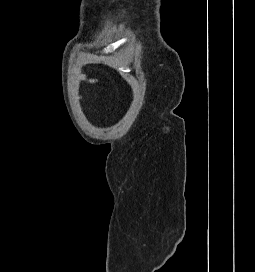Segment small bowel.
I'll list each match as a JSON object with an SVG mask.
<instances>
[{"label": "small bowel", "mask_w": 255, "mask_h": 272, "mask_svg": "<svg viewBox=\"0 0 255 272\" xmlns=\"http://www.w3.org/2000/svg\"><path fill=\"white\" fill-rule=\"evenodd\" d=\"M81 79L84 80V81L90 82V83L94 82V79L88 78L86 76H82Z\"/></svg>", "instance_id": "obj_1"}]
</instances>
